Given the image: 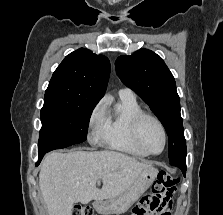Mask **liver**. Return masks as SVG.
<instances>
[{"label":"liver","instance_id":"obj_1","mask_svg":"<svg viewBox=\"0 0 223 215\" xmlns=\"http://www.w3.org/2000/svg\"><path fill=\"white\" fill-rule=\"evenodd\" d=\"M146 167L152 163L119 151H51L41 165L39 185L49 215H72L73 203L113 199L124 193ZM99 179L101 189L96 185Z\"/></svg>","mask_w":223,"mask_h":215}]
</instances>
